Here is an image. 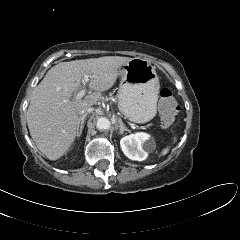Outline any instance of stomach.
Here are the masks:
<instances>
[{"label": "stomach", "mask_w": 240, "mask_h": 240, "mask_svg": "<svg viewBox=\"0 0 240 240\" xmlns=\"http://www.w3.org/2000/svg\"><path fill=\"white\" fill-rule=\"evenodd\" d=\"M120 85L117 94L120 112L135 123L152 120L157 113L159 78L152 64L133 58L119 69Z\"/></svg>", "instance_id": "obj_1"}]
</instances>
